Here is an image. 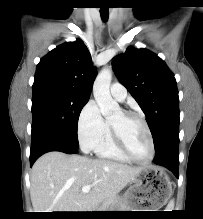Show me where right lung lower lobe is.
Masks as SVG:
<instances>
[{
    "label": "right lung lower lobe",
    "instance_id": "98d812e1",
    "mask_svg": "<svg viewBox=\"0 0 203 219\" xmlns=\"http://www.w3.org/2000/svg\"><path fill=\"white\" fill-rule=\"evenodd\" d=\"M49 151H62L68 154H75L77 150H70L66 145L51 136H38L32 138L30 150V165L36 161L38 157Z\"/></svg>",
    "mask_w": 203,
    "mask_h": 219
}]
</instances>
